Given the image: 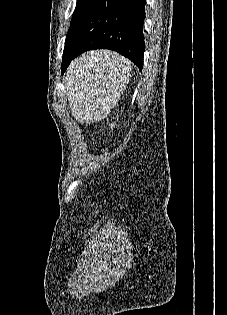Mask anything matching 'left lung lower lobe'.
I'll return each mask as SVG.
<instances>
[{
    "instance_id": "left-lung-lower-lobe-1",
    "label": "left lung lower lobe",
    "mask_w": 227,
    "mask_h": 315,
    "mask_svg": "<svg viewBox=\"0 0 227 315\" xmlns=\"http://www.w3.org/2000/svg\"><path fill=\"white\" fill-rule=\"evenodd\" d=\"M146 0H98L75 25L65 42L62 74L85 51L114 50L142 71Z\"/></svg>"
}]
</instances>
